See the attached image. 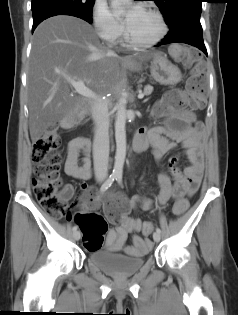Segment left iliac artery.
<instances>
[{
  "label": "left iliac artery",
  "mask_w": 238,
  "mask_h": 315,
  "mask_svg": "<svg viewBox=\"0 0 238 315\" xmlns=\"http://www.w3.org/2000/svg\"><path fill=\"white\" fill-rule=\"evenodd\" d=\"M118 184H122V173H118L117 174V178H116ZM156 232L161 233V229L159 227L156 228Z\"/></svg>",
  "instance_id": "left-iliac-artery-1"
}]
</instances>
